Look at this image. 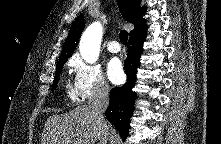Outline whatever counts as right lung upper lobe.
<instances>
[{
    "label": "right lung upper lobe",
    "instance_id": "1",
    "mask_svg": "<svg viewBox=\"0 0 221 144\" xmlns=\"http://www.w3.org/2000/svg\"><path fill=\"white\" fill-rule=\"evenodd\" d=\"M118 3L123 18L134 24V29L131 31L130 36L147 28L146 20L142 18L146 12V7H140L141 0H119ZM83 29L84 17L80 15L75 19L69 31L57 64L65 63L72 55Z\"/></svg>",
    "mask_w": 221,
    "mask_h": 144
}]
</instances>
